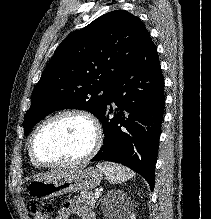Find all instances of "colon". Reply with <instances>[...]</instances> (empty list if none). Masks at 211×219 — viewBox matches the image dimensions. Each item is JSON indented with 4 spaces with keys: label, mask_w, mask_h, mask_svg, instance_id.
<instances>
[{
    "label": "colon",
    "mask_w": 211,
    "mask_h": 219,
    "mask_svg": "<svg viewBox=\"0 0 211 219\" xmlns=\"http://www.w3.org/2000/svg\"><path fill=\"white\" fill-rule=\"evenodd\" d=\"M27 207L33 219H51L54 213L52 204L48 202L31 201Z\"/></svg>",
    "instance_id": "obj_1"
}]
</instances>
